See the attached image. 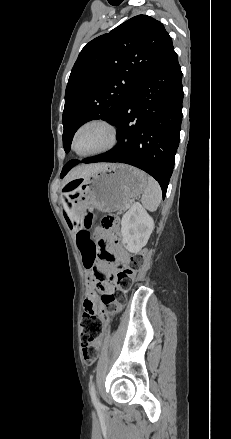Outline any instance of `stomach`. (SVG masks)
I'll return each instance as SVG.
<instances>
[{
	"label": "stomach",
	"mask_w": 231,
	"mask_h": 439,
	"mask_svg": "<svg viewBox=\"0 0 231 439\" xmlns=\"http://www.w3.org/2000/svg\"><path fill=\"white\" fill-rule=\"evenodd\" d=\"M147 175L132 166L112 164L89 177L77 178L78 186L66 194L64 210L71 220H82L88 208L103 212L122 210L144 191Z\"/></svg>",
	"instance_id": "obj_1"
}]
</instances>
